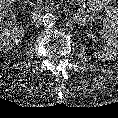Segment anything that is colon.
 <instances>
[{"label":"colon","mask_w":118,"mask_h":118,"mask_svg":"<svg viewBox=\"0 0 118 118\" xmlns=\"http://www.w3.org/2000/svg\"><path fill=\"white\" fill-rule=\"evenodd\" d=\"M35 3L38 0H28ZM14 21V14L10 9L0 6V27L12 24Z\"/></svg>","instance_id":"5ec220e1"}]
</instances>
